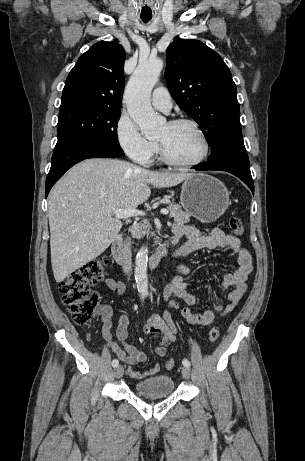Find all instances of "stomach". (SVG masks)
<instances>
[{
  "mask_svg": "<svg viewBox=\"0 0 305 461\" xmlns=\"http://www.w3.org/2000/svg\"><path fill=\"white\" fill-rule=\"evenodd\" d=\"M180 203L192 216L210 223L222 216L228 208L229 193L219 179L205 173H196L183 182Z\"/></svg>",
  "mask_w": 305,
  "mask_h": 461,
  "instance_id": "0dacf381",
  "label": "stomach"
}]
</instances>
